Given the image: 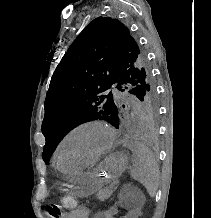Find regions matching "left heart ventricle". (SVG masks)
<instances>
[{"label":"left heart ventricle","mask_w":211,"mask_h":218,"mask_svg":"<svg viewBox=\"0 0 211 218\" xmlns=\"http://www.w3.org/2000/svg\"><path fill=\"white\" fill-rule=\"evenodd\" d=\"M106 135L97 128H85L64 143L60 151L59 164H84L90 161L106 143Z\"/></svg>","instance_id":"1"}]
</instances>
